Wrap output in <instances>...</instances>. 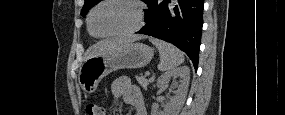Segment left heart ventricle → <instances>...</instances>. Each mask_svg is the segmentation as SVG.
Listing matches in <instances>:
<instances>
[{"label":"left heart ventricle","mask_w":285,"mask_h":115,"mask_svg":"<svg viewBox=\"0 0 285 115\" xmlns=\"http://www.w3.org/2000/svg\"><path fill=\"white\" fill-rule=\"evenodd\" d=\"M137 17L133 6L110 1L96 9L92 16V29L98 34L113 33L133 28Z\"/></svg>","instance_id":"left-heart-ventricle-1"}]
</instances>
